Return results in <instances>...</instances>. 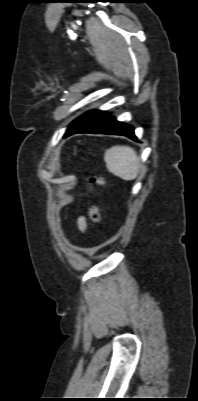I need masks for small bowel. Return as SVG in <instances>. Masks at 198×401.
<instances>
[{"label":"small bowel","mask_w":198,"mask_h":401,"mask_svg":"<svg viewBox=\"0 0 198 401\" xmlns=\"http://www.w3.org/2000/svg\"><path fill=\"white\" fill-rule=\"evenodd\" d=\"M86 226H87V224H86L85 218H84V217H80V218L78 219V227H79V229H80L81 231H85Z\"/></svg>","instance_id":"small-bowel-1"}]
</instances>
